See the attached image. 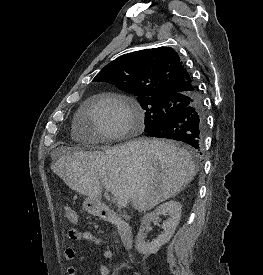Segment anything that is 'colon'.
Instances as JSON below:
<instances>
[{
  "mask_svg": "<svg viewBox=\"0 0 263 275\" xmlns=\"http://www.w3.org/2000/svg\"><path fill=\"white\" fill-rule=\"evenodd\" d=\"M64 216L70 223H75L78 220L77 211L70 206L64 208Z\"/></svg>",
  "mask_w": 263,
  "mask_h": 275,
  "instance_id": "obj_1",
  "label": "colon"
}]
</instances>
